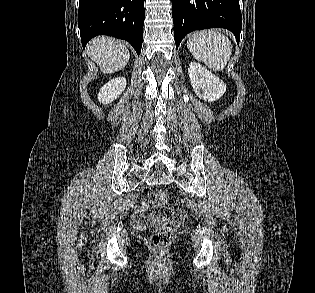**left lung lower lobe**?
<instances>
[{
    "instance_id": "0a47b994",
    "label": "left lung lower lobe",
    "mask_w": 315,
    "mask_h": 293,
    "mask_svg": "<svg viewBox=\"0 0 315 293\" xmlns=\"http://www.w3.org/2000/svg\"><path fill=\"white\" fill-rule=\"evenodd\" d=\"M172 17L176 48L188 33L207 28L228 29L239 42V0H172Z\"/></svg>"
}]
</instances>
